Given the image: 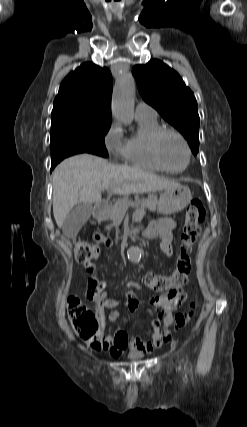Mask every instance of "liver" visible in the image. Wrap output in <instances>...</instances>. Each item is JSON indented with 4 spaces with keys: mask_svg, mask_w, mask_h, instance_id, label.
I'll use <instances>...</instances> for the list:
<instances>
[{
    "mask_svg": "<svg viewBox=\"0 0 247 427\" xmlns=\"http://www.w3.org/2000/svg\"><path fill=\"white\" fill-rule=\"evenodd\" d=\"M178 183L140 168L121 166L91 154L62 161L53 172V214L59 228L79 202L97 203L103 190L115 194L155 192Z\"/></svg>",
    "mask_w": 247,
    "mask_h": 427,
    "instance_id": "1",
    "label": "liver"
}]
</instances>
